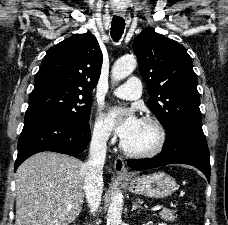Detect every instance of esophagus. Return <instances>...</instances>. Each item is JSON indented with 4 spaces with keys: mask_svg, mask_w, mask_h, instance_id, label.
<instances>
[{
    "mask_svg": "<svg viewBox=\"0 0 228 225\" xmlns=\"http://www.w3.org/2000/svg\"><path fill=\"white\" fill-rule=\"evenodd\" d=\"M114 169L118 176H121V177L129 176V172L125 168L124 160L122 157L115 158Z\"/></svg>",
    "mask_w": 228,
    "mask_h": 225,
    "instance_id": "obj_1",
    "label": "esophagus"
}]
</instances>
